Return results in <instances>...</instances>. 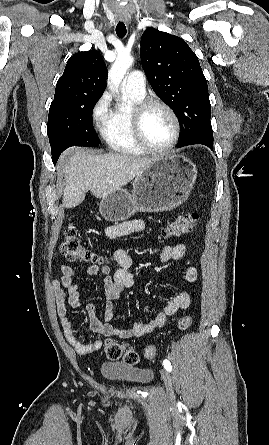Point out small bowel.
I'll list each match as a JSON object with an SVG mask.
<instances>
[{
    "label": "small bowel",
    "instance_id": "small-bowel-1",
    "mask_svg": "<svg viewBox=\"0 0 269 445\" xmlns=\"http://www.w3.org/2000/svg\"><path fill=\"white\" fill-rule=\"evenodd\" d=\"M145 226V222L141 219L126 221L118 225L107 227L105 229V236L107 238L120 237L139 232L143 230ZM186 253L187 250L184 244L165 246L162 249L159 258L163 263L185 259L186 279L189 282H194L197 279L198 272L190 259L186 258ZM113 260V267H110L109 265L94 264L85 270V274L90 276L101 275L103 277L105 288L106 302L104 306L103 320L97 318L96 308L93 303H88L86 305L90 325L95 332L103 336H117L122 339L142 337L163 327L169 316L189 307L191 297L187 291L181 290L173 295L165 308L157 313L150 321L137 322L131 327L126 328L114 327L111 324V321L114 318L113 301L119 298L122 290L134 288L136 286V281L131 272L134 267V261L126 251H115ZM60 270L61 278L52 282V289L55 295L57 313L61 321L65 338L78 354L84 355L96 352L102 348V341L100 339L90 343H82L79 341L75 336L73 325L68 315V307L78 309L81 306L80 288L75 282L78 271L66 264H62Z\"/></svg>",
    "mask_w": 269,
    "mask_h": 445
}]
</instances>
